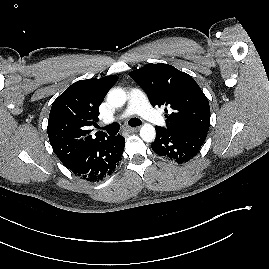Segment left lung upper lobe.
<instances>
[{
	"instance_id": "left-lung-upper-lobe-1",
	"label": "left lung upper lobe",
	"mask_w": 269,
	"mask_h": 269,
	"mask_svg": "<svg viewBox=\"0 0 269 269\" xmlns=\"http://www.w3.org/2000/svg\"><path fill=\"white\" fill-rule=\"evenodd\" d=\"M129 76L147 93L151 104L169 108L168 132L207 133L210 126L209 102L196 81L175 67L147 64ZM167 108L165 112L167 113ZM163 128V127H162Z\"/></svg>"
}]
</instances>
